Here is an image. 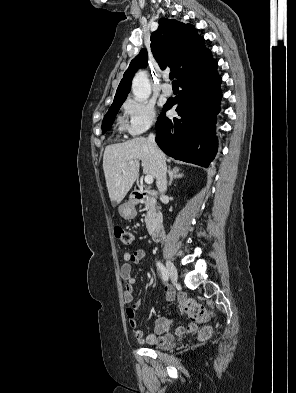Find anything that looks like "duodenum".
<instances>
[{
    "label": "duodenum",
    "instance_id": "1",
    "mask_svg": "<svg viewBox=\"0 0 296 393\" xmlns=\"http://www.w3.org/2000/svg\"><path fill=\"white\" fill-rule=\"evenodd\" d=\"M157 192L154 190H142L135 192V199H142L146 197H156ZM152 239L154 241H161L165 235V225L162 219H156L154 226L152 228Z\"/></svg>",
    "mask_w": 296,
    "mask_h": 393
}]
</instances>
